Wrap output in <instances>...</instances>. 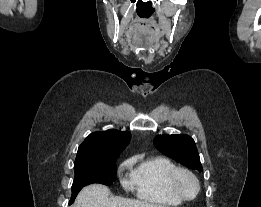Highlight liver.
<instances>
[{
	"label": "liver",
	"mask_w": 261,
	"mask_h": 207,
	"mask_svg": "<svg viewBox=\"0 0 261 207\" xmlns=\"http://www.w3.org/2000/svg\"><path fill=\"white\" fill-rule=\"evenodd\" d=\"M72 207H164L143 200L122 197L109 198L108 187L92 184L84 187L78 194Z\"/></svg>",
	"instance_id": "1"
}]
</instances>
